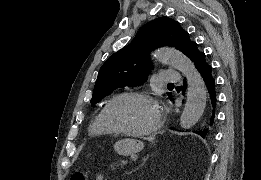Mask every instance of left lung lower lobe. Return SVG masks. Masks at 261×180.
I'll use <instances>...</instances> for the list:
<instances>
[{
  "label": "left lung lower lobe",
  "instance_id": "left-lung-lower-lobe-1",
  "mask_svg": "<svg viewBox=\"0 0 261 180\" xmlns=\"http://www.w3.org/2000/svg\"><path fill=\"white\" fill-rule=\"evenodd\" d=\"M188 57L194 62L195 67L200 72L207 86L209 99H210V125L209 126H212L215 117V108L217 102V96L215 91V79L212 74V67L206 62L205 54L198 50L197 44L191 48ZM209 131H210L209 128H207L203 131H198L197 133L200 134L202 137H205L206 134L209 133Z\"/></svg>",
  "mask_w": 261,
  "mask_h": 180
}]
</instances>
